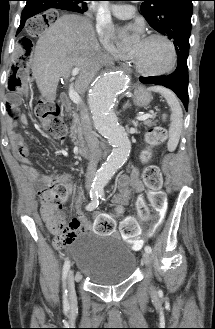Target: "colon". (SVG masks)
I'll return each mask as SVG.
<instances>
[{"mask_svg":"<svg viewBox=\"0 0 215 329\" xmlns=\"http://www.w3.org/2000/svg\"><path fill=\"white\" fill-rule=\"evenodd\" d=\"M60 17L56 14H33V19L28 20V25L24 26V31L28 32V37H18V53L14 56V61L8 62V67L12 68L9 81V90L6 102V109H23V103H26V75L24 68L29 67L28 58L32 52V44H37V38H49V26L53 21ZM36 116L43 121L46 131L52 135L62 137L64 127L60 118L58 109L51 102L40 100L35 107ZM166 138V131L162 128L151 130L146 137L147 148L143 151L142 159L144 162L152 158V149L159 146ZM143 180L147 188V197L149 205L152 208V216L157 219L156 228H158L165 218L170 216L169 206L165 193L162 191V174L158 166L147 165L143 171ZM44 201L55 210L65 208L69 201L67 183L58 177H52L49 186L44 191ZM145 220L147 218H140ZM97 220H113L101 219ZM73 225L67 223H57L52 227V231L57 237V244H66L71 238V228ZM140 226L133 219H125L121 224V233L123 237L133 240L140 235Z\"/></svg>","mask_w":215,"mask_h":329,"instance_id":"colon-1","label":"colon"}]
</instances>
